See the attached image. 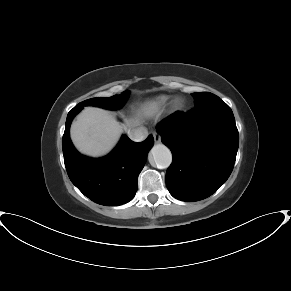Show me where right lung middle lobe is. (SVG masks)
<instances>
[{
	"label": "right lung middle lobe",
	"mask_w": 291,
	"mask_h": 291,
	"mask_svg": "<svg viewBox=\"0 0 291 291\" xmlns=\"http://www.w3.org/2000/svg\"><path fill=\"white\" fill-rule=\"evenodd\" d=\"M129 92L125 91L120 95H114L107 98H92L80 102L75 107L83 108L84 106H98L102 108L117 110L123 107L128 99Z\"/></svg>",
	"instance_id": "right-lung-middle-lobe-1"
}]
</instances>
